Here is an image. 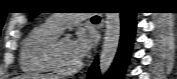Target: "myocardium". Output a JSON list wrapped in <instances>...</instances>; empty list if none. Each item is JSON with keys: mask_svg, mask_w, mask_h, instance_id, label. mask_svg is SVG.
I'll return each instance as SVG.
<instances>
[{"mask_svg": "<svg viewBox=\"0 0 177 79\" xmlns=\"http://www.w3.org/2000/svg\"><path fill=\"white\" fill-rule=\"evenodd\" d=\"M60 39H56L50 46L48 51V62L51 67V69L60 75L69 76L77 73L81 69V62L77 66L71 69H65L62 67L59 61L58 56V45H59Z\"/></svg>", "mask_w": 177, "mask_h": 79, "instance_id": "obj_1", "label": "myocardium"}]
</instances>
